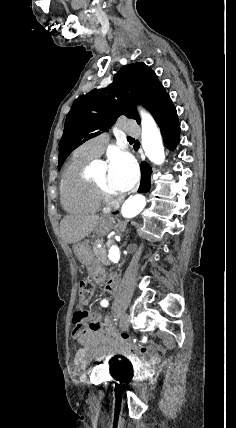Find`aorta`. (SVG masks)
<instances>
[{"mask_svg": "<svg viewBox=\"0 0 236 428\" xmlns=\"http://www.w3.org/2000/svg\"><path fill=\"white\" fill-rule=\"evenodd\" d=\"M142 126V147L147 158L154 164L160 165L165 161V153L162 137L153 117L143 109H140ZM146 206V198L141 194L129 197L121 208V214L125 218L137 216ZM109 261L118 263L121 251L116 243H113L108 251Z\"/></svg>", "mask_w": 236, "mask_h": 428, "instance_id": "aorta-1", "label": "aorta"}]
</instances>
